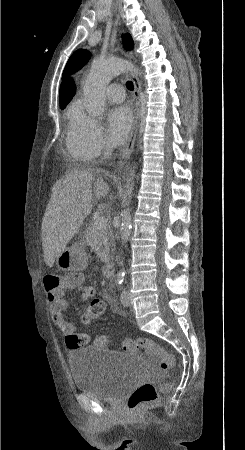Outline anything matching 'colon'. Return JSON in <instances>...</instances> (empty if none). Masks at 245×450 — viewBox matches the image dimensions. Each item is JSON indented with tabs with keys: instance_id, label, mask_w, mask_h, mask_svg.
I'll list each match as a JSON object with an SVG mask.
<instances>
[{
	"instance_id": "1",
	"label": "colon",
	"mask_w": 245,
	"mask_h": 450,
	"mask_svg": "<svg viewBox=\"0 0 245 450\" xmlns=\"http://www.w3.org/2000/svg\"><path fill=\"white\" fill-rule=\"evenodd\" d=\"M81 280V274L77 271H72L63 276L47 277L44 282L46 290H60L75 286ZM103 309L104 304L102 301H92L82 316V322L84 324L91 323L94 319L101 316ZM88 339L89 338L86 333L75 332L67 336V344L72 347L82 346L88 342ZM123 347L128 351L134 350L138 347L154 355L158 360L159 367L163 371L171 372L175 367L174 355L149 339L140 338L135 340L133 338H128L124 342ZM170 387L171 383H164L162 385V390L168 391ZM158 398L159 394L155 386L152 383H144L139 385L134 392H132L128 399V407L131 412L138 413L143 407L156 402Z\"/></svg>"
}]
</instances>
